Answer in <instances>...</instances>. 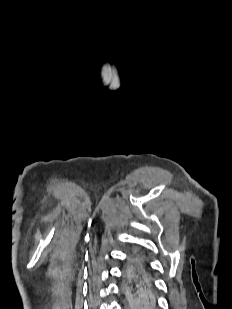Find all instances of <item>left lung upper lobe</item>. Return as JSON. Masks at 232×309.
Instances as JSON below:
<instances>
[{
	"label": "left lung upper lobe",
	"mask_w": 232,
	"mask_h": 309,
	"mask_svg": "<svg viewBox=\"0 0 232 309\" xmlns=\"http://www.w3.org/2000/svg\"><path fill=\"white\" fill-rule=\"evenodd\" d=\"M125 295H126L127 302H128V304H129V306H131V298H130V296L127 295L126 293H125Z\"/></svg>",
	"instance_id": "1"
}]
</instances>
